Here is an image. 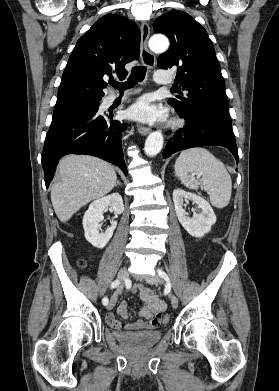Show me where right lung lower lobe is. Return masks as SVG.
I'll return each mask as SVG.
<instances>
[{"mask_svg": "<svg viewBox=\"0 0 279 391\" xmlns=\"http://www.w3.org/2000/svg\"><path fill=\"white\" fill-rule=\"evenodd\" d=\"M99 104L63 108L53 112L42 154L45 184L48 188L59 159L68 153L97 156L127 169L121 137L125 124L114 120L113 113L98 112Z\"/></svg>", "mask_w": 279, "mask_h": 391, "instance_id": "obj_1", "label": "right lung lower lobe"}]
</instances>
